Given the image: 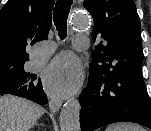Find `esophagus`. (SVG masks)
<instances>
[{"mask_svg": "<svg viewBox=\"0 0 151 131\" xmlns=\"http://www.w3.org/2000/svg\"><path fill=\"white\" fill-rule=\"evenodd\" d=\"M62 105V100L60 98H51L49 101V108L52 112H57Z\"/></svg>", "mask_w": 151, "mask_h": 131, "instance_id": "1", "label": "esophagus"}]
</instances>
